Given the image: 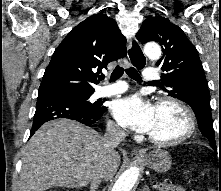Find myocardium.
Instances as JSON below:
<instances>
[{"label": "myocardium", "instance_id": "obj_1", "mask_svg": "<svg viewBox=\"0 0 221 191\" xmlns=\"http://www.w3.org/2000/svg\"><path fill=\"white\" fill-rule=\"evenodd\" d=\"M165 105H171L173 107H176L184 116L185 118V127L183 132L170 139H160L156 138L149 134L148 139L151 143L158 145V146H175L179 145L186 140H188L195 132L196 129V120L194 113L190 109V107L184 103L182 100L171 97V96H165L161 97L157 101V108H160Z\"/></svg>", "mask_w": 221, "mask_h": 191}]
</instances>
